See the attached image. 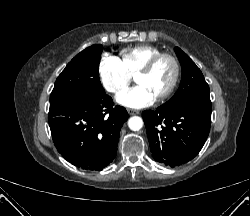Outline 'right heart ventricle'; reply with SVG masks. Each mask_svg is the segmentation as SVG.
Returning <instances> with one entry per match:
<instances>
[{
  "instance_id": "obj_1",
  "label": "right heart ventricle",
  "mask_w": 250,
  "mask_h": 216,
  "mask_svg": "<svg viewBox=\"0 0 250 216\" xmlns=\"http://www.w3.org/2000/svg\"><path fill=\"white\" fill-rule=\"evenodd\" d=\"M161 51L153 46L143 45L125 49L121 52L120 61L131 76H135L153 57Z\"/></svg>"
}]
</instances>
